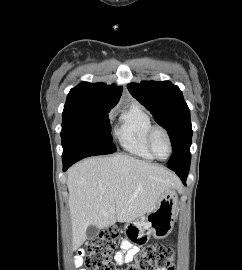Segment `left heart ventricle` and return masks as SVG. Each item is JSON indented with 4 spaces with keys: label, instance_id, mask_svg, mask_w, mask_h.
Returning a JSON list of instances; mask_svg holds the SVG:
<instances>
[{
    "label": "left heart ventricle",
    "instance_id": "b2bd125f",
    "mask_svg": "<svg viewBox=\"0 0 242 270\" xmlns=\"http://www.w3.org/2000/svg\"><path fill=\"white\" fill-rule=\"evenodd\" d=\"M154 150L160 158H165L169 153V145L165 135L162 132L156 133L153 140Z\"/></svg>",
    "mask_w": 242,
    "mask_h": 270
}]
</instances>
